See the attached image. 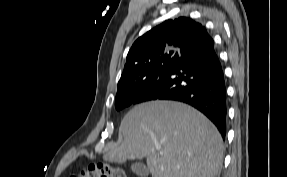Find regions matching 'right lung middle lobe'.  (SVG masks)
<instances>
[{
  "label": "right lung middle lobe",
  "mask_w": 287,
  "mask_h": 177,
  "mask_svg": "<svg viewBox=\"0 0 287 177\" xmlns=\"http://www.w3.org/2000/svg\"><path fill=\"white\" fill-rule=\"evenodd\" d=\"M178 60L177 56L161 59L141 72L132 82L118 85L115 99L116 109L121 110L131 105L149 86L174 68Z\"/></svg>",
  "instance_id": "1"
}]
</instances>
